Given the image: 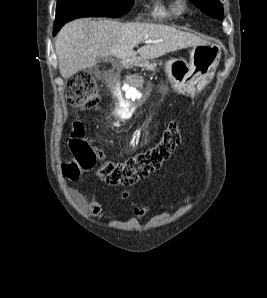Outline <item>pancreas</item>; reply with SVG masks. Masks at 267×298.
I'll list each match as a JSON object with an SVG mask.
<instances>
[{
    "label": "pancreas",
    "instance_id": "pancreas-1",
    "mask_svg": "<svg viewBox=\"0 0 267 298\" xmlns=\"http://www.w3.org/2000/svg\"><path fill=\"white\" fill-rule=\"evenodd\" d=\"M160 65H161V63H160ZM156 66H157L156 63L148 64L146 66V69H148V70H154L156 68Z\"/></svg>",
    "mask_w": 267,
    "mask_h": 298
}]
</instances>
